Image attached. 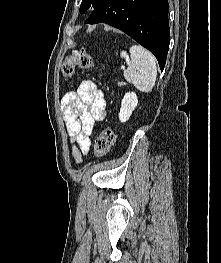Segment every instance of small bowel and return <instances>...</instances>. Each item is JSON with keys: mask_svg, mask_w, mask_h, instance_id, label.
<instances>
[{"mask_svg": "<svg viewBox=\"0 0 221 263\" xmlns=\"http://www.w3.org/2000/svg\"><path fill=\"white\" fill-rule=\"evenodd\" d=\"M61 111L70 139L71 158L78 165L89 152L94 124L105 118L106 101L95 83L85 80L76 91L62 97Z\"/></svg>", "mask_w": 221, "mask_h": 263, "instance_id": "obj_1", "label": "small bowel"}]
</instances>
